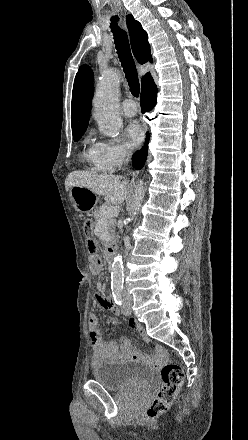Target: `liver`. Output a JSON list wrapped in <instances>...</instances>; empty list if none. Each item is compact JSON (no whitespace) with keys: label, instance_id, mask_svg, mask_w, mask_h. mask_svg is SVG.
I'll return each instance as SVG.
<instances>
[{"label":"liver","instance_id":"liver-1","mask_svg":"<svg viewBox=\"0 0 248 440\" xmlns=\"http://www.w3.org/2000/svg\"><path fill=\"white\" fill-rule=\"evenodd\" d=\"M81 186L91 190L96 195H102L111 203H123L129 196V183L121 181L119 176L111 174H96L86 171H74L68 174L65 188Z\"/></svg>","mask_w":248,"mask_h":440}]
</instances>
